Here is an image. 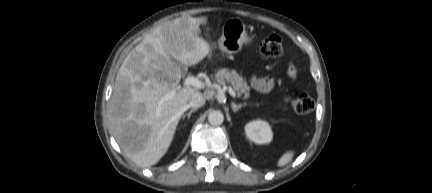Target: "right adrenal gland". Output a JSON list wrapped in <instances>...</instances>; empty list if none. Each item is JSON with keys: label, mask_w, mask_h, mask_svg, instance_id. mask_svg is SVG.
Segmentation results:
<instances>
[{"label": "right adrenal gland", "mask_w": 432, "mask_h": 193, "mask_svg": "<svg viewBox=\"0 0 432 193\" xmlns=\"http://www.w3.org/2000/svg\"><path fill=\"white\" fill-rule=\"evenodd\" d=\"M196 111H197V108H191V110H190L188 113L183 114L182 119H184L186 116H187V118L189 119L190 116H191V114H192L193 112H196Z\"/></svg>", "instance_id": "2a0ac1e0"}]
</instances>
